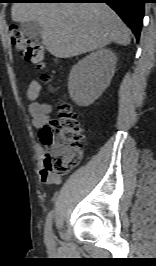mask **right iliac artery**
<instances>
[{"instance_id": "obj_1", "label": "right iliac artery", "mask_w": 156, "mask_h": 266, "mask_svg": "<svg viewBox=\"0 0 156 266\" xmlns=\"http://www.w3.org/2000/svg\"><path fill=\"white\" fill-rule=\"evenodd\" d=\"M52 218H53V213L51 211L48 214V216L46 218V223H45V238H46V240L52 239Z\"/></svg>"}]
</instances>
